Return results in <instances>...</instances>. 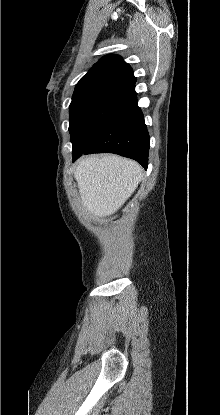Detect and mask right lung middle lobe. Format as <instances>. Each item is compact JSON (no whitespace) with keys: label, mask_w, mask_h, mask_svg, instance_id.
I'll list each match as a JSON object with an SVG mask.
<instances>
[{"label":"right lung middle lobe","mask_w":220,"mask_h":415,"mask_svg":"<svg viewBox=\"0 0 220 415\" xmlns=\"http://www.w3.org/2000/svg\"><path fill=\"white\" fill-rule=\"evenodd\" d=\"M134 96L135 86L116 79L77 84L69 106L73 150L86 148L110 117Z\"/></svg>","instance_id":"dd1d6c3e"}]
</instances>
